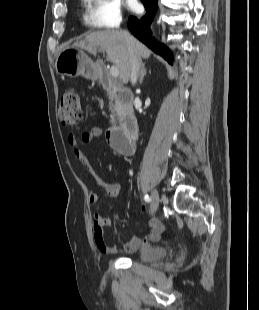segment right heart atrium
<instances>
[{
	"instance_id": "d8ad5b80",
	"label": "right heart atrium",
	"mask_w": 259,
	"mask_h": 310,
	"mask_svg": "<svg viewBox=\"0 0 259 310\" xmlns=\"http://www.w3.org/2000/svg\"><path fill=\"white\" fill-rule=\"evenodd\" d=\"M86 19L99 28L117 27L123 18L119 0H85Z\"/></svg>"
}]
</instances>
